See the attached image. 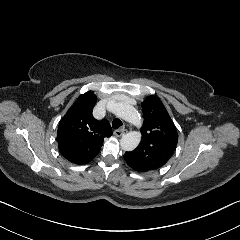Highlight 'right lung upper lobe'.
Returning <instances> with one entry per match:
<instances>
[{
	"label": "right lung upper lobe",
	"instance_id": "cb5924a9",
	"mask_svg": "<svg viewBox=\"0 0 240 240\" xmlns=\"http://www.w3.org/2000/svg\"><path fill=\"white\" fill-rule=\"evenodd\" d=\"M96 101L92 91L80 95L58 126V148L70 162L88 163L98 155L103 139L112 134L106 119L98 121L92 115Z\"/></svg>",
	"mask_w": 240,
	"mask_h": 240
}]
</instances>
